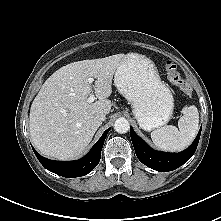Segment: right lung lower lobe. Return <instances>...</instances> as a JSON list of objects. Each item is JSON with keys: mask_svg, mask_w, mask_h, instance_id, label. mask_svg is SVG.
I'll return each instance as SVG.
<instances>
[{"mask_svg": "<svg viewBox=\"0 0 221 221\" xmlns=\"http://www.w3.org/2000/svg\"><path fill=\"white\" fill-rule=\"evenodd\" d=\"M110 129H107L92 149L83 158L75 161H54L39 155L32 147L40 163L49 171L67 178L87 175L99 163L101 150Z\"/></svg>", "mask_w": 221, "mask_h": 221, "instance_id": "1", "label": "right lung lower lobe"}]
</instances>
